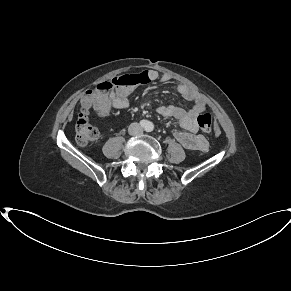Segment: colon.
I'll list each match as a JSON object with an SVG mask.
<instances>
[{
	"label": "colon",
	"mask_w": 291,
	"mask_h": 291,
	"mask_svg": "<svg viewBox=\"0 0 291 291\" xmlns=\"http://www.w3.org/2000/svg\"><path fill=\"white\" fill-rule=\"evenodd\" d=\"M140 81V75L132 74L114 77L98 83L81 101V111L75 125L78 143L87 145L94 142L98 137L96 128L89 120L90 109L95 108L96 101L106 98V94L114 88L128 87ZM197 124L204 133L211 132L213 127L212 116L208 113L199 115Z\"/></svg>",
	"instance_id": "obj_1"
}]
</instances>
